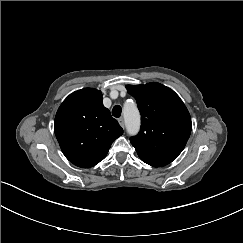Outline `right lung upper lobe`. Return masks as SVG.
Segmentation results:
<instances>
[{
	"label": "right lung upper lobe",
	"instance_id": "right-lung-upper-lobe-1",
	"mask_svg": "<svg viewBox=\"0 0 243 243\" xmlns=\"http://www.w3.org/2000/svg\"><path fill=\"white\" fill-rule=\"evenodd\" d=\"M102 101L101 91L84 88L70 94L57 111L55 135L63 154L78 167L98 164L123 134Z\"/></svg>",
	"mask_w": 243,
	"mask_h": 243
}]
</instances>
